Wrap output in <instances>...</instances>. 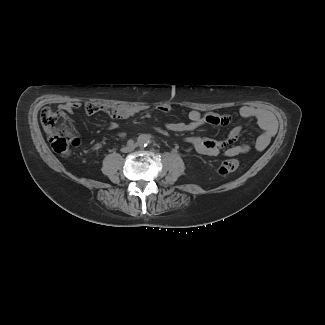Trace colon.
<instances>
[{"mask_svg":"<svg viewBox=\"0 0 325 325\" xmlns=\"http://www.w3.org/2000/svg\"><path fill=\"white\" fill-rule=\"evenodd\" d=\"M40 120L55 152L66 155L71 147L77 144L78 141L72 134L68 120L61 111L46 107L41 111ZM240 168L241 163L239 160L228 158L221 162L218 171L221 174H229Z\"/></svg>","mask_w":325,"mask_h":325,"instance_id":"obj_1","label":"colon"}]
</instances>
